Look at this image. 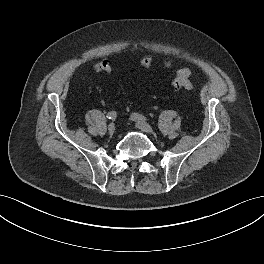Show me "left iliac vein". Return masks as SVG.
<instances>
[{
    "instance_id": "obj_1",
    "label": "left iliac vein",
    "mask_w": 264,
    "mask_h": 264,
    "mask_svg": "<svg viewBox=\"0 0 264 264\" xmlns=\"http://www.w3.org/2000/svg\"><path fill=\"white\" fill-rule=\"evenodd\" d=\"M136 127L139 128L140 130L147 132V133H152L153 129L152 127L144 121H137L136 120Z\"/></svg>"
}]
</instances>
